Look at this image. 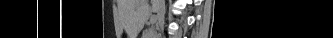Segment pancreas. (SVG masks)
Wrapping results in <instances>:
<instances>
[{
  "instance_id": "obj_1",
  "label": "pancreas",
  "mask_w": 333,
  "mask_h": 38,
  "mask_svg": "<svg viewBox=\"0 0 333 38\" xmlns=\"http://www.w3.org/2000/svg\"><path fill=\"white\" fill-rule=\"evenodd\" d=\"M152 35H154V29L151 28L146 32V38H152Z\"/></svg>"
}]
</instances>
